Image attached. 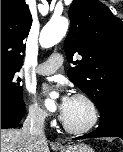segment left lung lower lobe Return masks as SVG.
Masks as SVG:
<instances>
[{"label":"left lung lower lobe","instance_id":"left-lung-lower-lobe-1","mask_svg":"<svg viewBox=\"0 0 123 152\" xmlns=\"http://www.w3.org/2000/svg\"><path fill=\"white\" fill-rule=\"evenodd\" d=\"M99 127L87 135L75 139L92 137H120L123 139V101H111L101 110Z\"/></svg>","mask_w":123,"mask_h":152}]
</instances>
